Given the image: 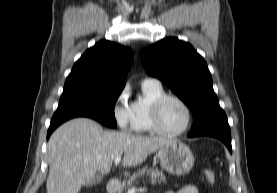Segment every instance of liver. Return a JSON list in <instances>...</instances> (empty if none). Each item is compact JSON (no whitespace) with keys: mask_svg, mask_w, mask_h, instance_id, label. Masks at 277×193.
<instances>
[{"mask_svg":"<svg viewBox=\"0 0 277 193\" xmlns=\"http://www.w3.org/2000/svg\"><path fill=\"white\" fill-rule=\"evenodd\" d=\"M173 140L127 132L103 131L88 118H76L60 126L48 142L47 193H78L97 172L108 174L113 160L123 157V166L135 167Z\"/></svg>","mask_w":277,"mask_h":193,"instance_id":"obj_1","label":"liver"}]
</instances>
